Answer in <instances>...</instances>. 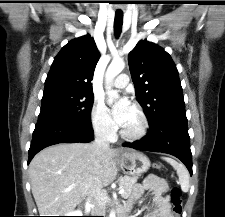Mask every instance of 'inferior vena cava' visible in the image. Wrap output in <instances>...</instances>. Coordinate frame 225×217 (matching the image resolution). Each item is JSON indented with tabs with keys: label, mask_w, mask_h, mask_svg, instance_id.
Masks as SVG:
<instances>
[{
	"label": "inferior vena cava",
	"mask_w": 225,
	"mask_h": 217,
	"mask_svg": "<svg viewBox=\"0 0 225 217\" xmlns=\"http://www.w3.org/2000/svg\"><path fill=\"white\" fill-rule=\"evenodd\" d=\"M115 134L113 127H110L107 132ZM94 146L96 148V155H101L103 151L109 149V142L107 140L106 131H99L94 140ZM89 201L92 203V213L95 216L105 215V203L104 197L100 188L92 190L88 195Z\"/></svg>",
	"instance_id": "obj_1"
}]
</instances>
